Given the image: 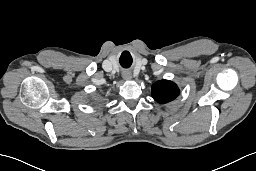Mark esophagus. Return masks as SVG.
<instances>
[{
  "instance_id": "34e87169",
  "label": "esophagus",
  "mask_w": 256,
  "mask_h": 171,
  "mask_svg": "<svg viewBox=\"0 0 256 171\" xmlns=\"http://www.w3.org/2000/svg\"><path fill=\"white\" fill-rule=\"evenodd\" d=\"M123 78H124V79H131V78H132V74L129 73V72H125V73L123 74Z\"/></svg>"
}]
</instances>
